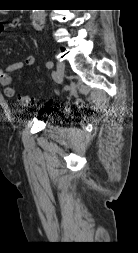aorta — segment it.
I'll list each match as a JSON object with an SVG mask.
<instances>
[{"instance_id":"762f6f07","label":"aorta","mask_w":138,"mask_h":253,"mask_svg":"<svg viewBox=\"0 0 138 253\" xmlns=\"http://www.w3.org/2000/svg\"><path fill=\"white\" fill-rule=\"evenodd\" d=\"M45 10H32L33 27L36 30H42L45 23Z\"/></svg>"}]
</instances>
